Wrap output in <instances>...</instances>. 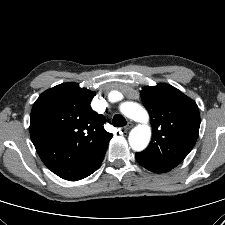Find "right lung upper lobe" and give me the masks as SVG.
<instances>
[{
	"instance_id": "cb5924a9",
	"label": "right lung upper lobe",
	"mask_w": 225,
	"mask_h": 225,
	"mask_svg": "<svg viewBox=\"0 0 225 225\" xmlns=\"http://www.w3.org/2000/svg\"><path fill=\"white\" fill-rule=\"evenodd\" d=\"M95 92L63 83L43 92L30 116V136L41 160L59 177L77 181L94 172L113 134L90 106Z\"/></svg>"
}]
</instances>
